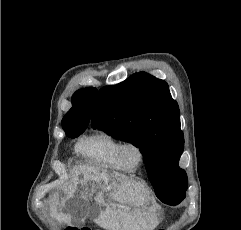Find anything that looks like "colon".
<instances>
[{"label":"colon","mask_w":241,"mask_h":230,"mask_svg":"<svg viewBox=\"0 0 241 230\" xmlns=\"http://www.w3.org/2000/svg\"><path fill=\"white\" fill-rule=\"evenodd\" d=\"M65 230H77V229L76 228H66ZM80 230H93V229H91L89 227H84V228H82Z\"/></svg>","instance_id":"colon-1"}]
</instances>
